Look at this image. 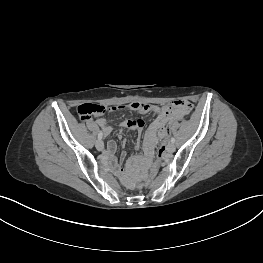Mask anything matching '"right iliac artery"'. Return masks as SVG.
<instances>
[{"label": "right iliac artery", "mask_w": 263, "mask_h": 263, "mask_svg": "<svg viewBox=\"0 0 263 263\" xmlns=\"http://www.w3.org/2000/svg\"><path fill=\"white\" fill-rule=\"evenodd\" d=\"M103 136L102 132L100 131L99 134H98V139H101Z\"/></svg>", "instance_id": "1"}]
</instances>
